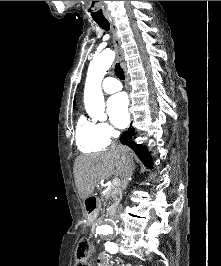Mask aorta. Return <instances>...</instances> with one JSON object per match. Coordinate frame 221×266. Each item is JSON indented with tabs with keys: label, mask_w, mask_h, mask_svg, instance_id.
<instances>
[{
	"label": "aorta",
	"mask_w": 221,
	"mask_h": 266,
	"mask_svg": "<svg viewBox=\"0 0 221 266\" xmlns=\"http://www.w3.org/2000/svg\"><path fill=\"white\" fill-rule=\"evenodd\" d=\"M114 58V51L106 49L92 59L88 68L84 88V104L87 113L94 120L106 117L101 82L105 73L111 67ZM98 229L104 233H109L113 230L109 225H100Z\"/></svg>",
	"instance_id": "762f6f07"
}]
</instances>
